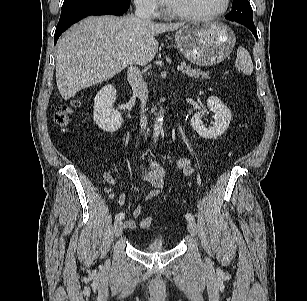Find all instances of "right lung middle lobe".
Wrapping results in <instances>:
<instances>
[{
	"mask_svg": "<svg viewBox=\"0 0 307 301\" xmlns=\"http://www.w3.org/2000/svg\"><path fill=\"white\" fill-rule=\"evenodd\" d=\"M93 1H99V0H64V3L62 5V10L72 8L81 4L93 2ZM119 2H129L130 0H114Z\"/></svg>",
	"mask_w": 307,
	"mask_h": 301,
	"instance_id": "right-lung-middle-lobe-1",
	"label": "right lung middle lobe"
}]
</instances>
